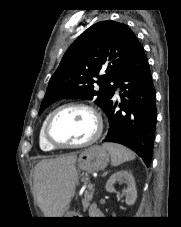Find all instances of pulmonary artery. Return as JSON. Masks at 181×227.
<instances>
[{
  "label": "pulmonary artery",
  "instance_id": "obj_1",
  "mask_svg": "<svg viewBox=\"0 0 181 227\" xmlns=\"http://www.w3.org/2000/svg\"><path fill=\"white\" fill-rule=\"evenodd\" d=\"M117 95H119V89L117 90Z\"/></svg>",
  "mask_w": 181,
  "mask_h": 227
}]
</instances>
